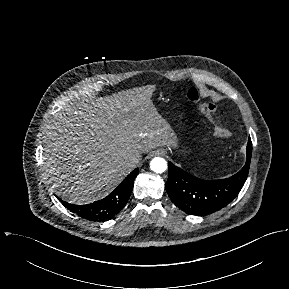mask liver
<instances>
[{"instance_id": "6515ba94", "label": "liver", "mask_w": 289, "mask_h": 289, "mask_svg": "<svg viewBox=\"0 0 289 289\" xmlns=\"http://www.w3.org/2000/svg\"><path fill=\"white\" fill-rule=\"evenodd\" d=\"M155 88L75 101L46 126L44 168L57 195L78 204L97 200L142 154L176 143L172 126L152 102Z\"/></svg>"}]
</instances>
